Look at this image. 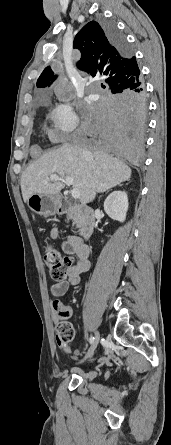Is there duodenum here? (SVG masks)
<instances>
[{"label": "duodenum", "instance_id": "obj_1", "mask_svg": "<svg viewBox=\"0 0 171 445\" xmlns=\"http://www.w3.org/2000/svg\"><path fill=\"white\" fill-rule=\"evenodd\" d=\"M58 214L75 218L80 225V235L84 239H88L95 227L94 211L85 205L72 207L63 195L58 197L57 204Z\"/></svg>", "mask_w": 171, "mask_h": 445}]
</instances>
